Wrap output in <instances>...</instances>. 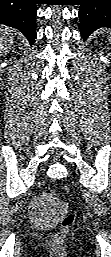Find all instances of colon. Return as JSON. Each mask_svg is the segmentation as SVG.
Returning a JSON list of instances; mask_svg holds the SVG:
<instances>
[{"mask_svg":"<svg viewBox=\"0 0 111 257\" xmlns=\"http://www.w3.org/2000/svg\"><path fill=\"white\" fill-rule=\"evenodd\" d=\"M55 192L51 188H44L41 193V198L49 202L50 206L54 210L61 211L60 215V225L61 229L56 232L53 236V242L59 244L63 241L64 236L68 229L72 226L74 222V215L72 212L64 210L61 203L57 202L54 198Z\"/></svg>","mask_w":111,"mask_h":257,"instance_id":"colon-1","label":"colon"}]
</instances>
